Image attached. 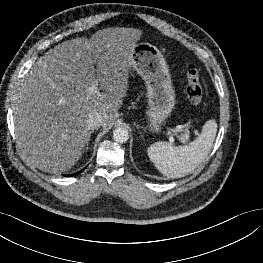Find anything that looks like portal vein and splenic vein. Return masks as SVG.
<instances>
[{
	"label": "portal vein and splenic vein",
	"mask_w": 263,
	"mask_h": 263,
	"mask_svg": "<svg viewBox=\"0 0 263 263\" xmlns=\"http://www.w3.org/2000/svg\"><path fill=\"white\" fill-rule=\"evenodd\" d=\"M88 90H89L90 93H96L97 90H98V84L97 83L93 84L92 86L89 87ZM169 141H170L171 144H174L175 140H174V137H173L172 134L169 135Z\"/></svg>",
	"instance_id": "obj_1"
}]
</instances>
